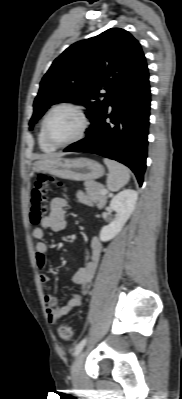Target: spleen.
Here are the masks:
<instances>
[{
  "label": "spleen",
  "mask_w": 182,
  "mask_h": 399,
  "mask_svg": "<svg viewBox=\"0 0 182 399\" xmlns=\"http://www.w3.org/2000/svg\"><path fill=\"white\" fill-rule=\"evenodd\" d=\"M104 163L109 169L107 187L112 192L118 191L128 183L130 179L129 169L116 161L106 158Z\"/></svg>",
  "instance_id": "spleen-1"
}]
</instances>
